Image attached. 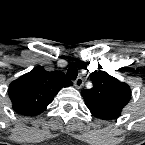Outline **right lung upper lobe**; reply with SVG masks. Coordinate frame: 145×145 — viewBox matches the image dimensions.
Segmentation results:
<instances>
[{
  "mask_svg": "<svg viewBox=\"0 0 145 145\" xmlns=\"http://www.w3.org/2000/svg\"><path fill=\"white\" fill-rule=\"evenodd\" d=\"M71 85L63 72L37 67L11 82L8 93L17 113L35 116L47 108L62 87Z\"/></svg>",
  "mask_w": 145,
  "mask_h": 145,
  "instance_id": "1",
  "label": "right lung upper lobe"
}]
</instances>
